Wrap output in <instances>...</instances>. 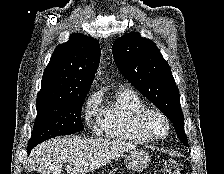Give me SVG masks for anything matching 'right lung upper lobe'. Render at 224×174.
<instances>
[{"instance_id":"obj_1","label":"right lung upper lobe","mask_w":224,"mask_h":174,"mask_svg":"<svg viewBox=\"0 0 224 174\" xmlns=\"http://www.w3.org/2000/svg\"><path fill=\"white\" fill-rule=\"evenodd\" d=\"M100 60V45L82 34H72L59 45L43 73L37 98H70L86 95Z\"/></svg>"}]
</instances>
